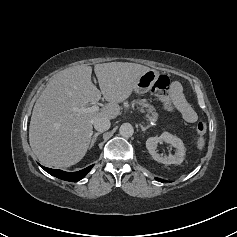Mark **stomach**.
<instances>
[{
    "mask_svg": "<svg viewBox=\"0 0 237 237\" xmlns=\"http://www.w3.org/2000/svg\"><path fill=\"white\" fill-rule=\"evenodd\" d=\"M158 77V71L153 69L148 70L139 77L134 86V91L138 94L147 93L152 88Z\"/></svg>",
    "mask_w": 237,
    "mask_h": 237,
    "instance_id": "0dacf381",
    "label": "stomach"
}]
</instances>
